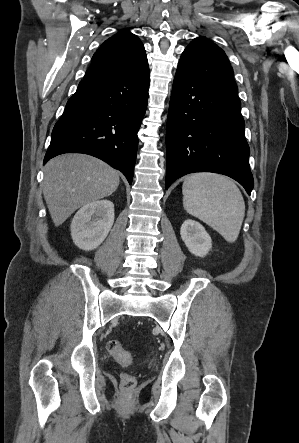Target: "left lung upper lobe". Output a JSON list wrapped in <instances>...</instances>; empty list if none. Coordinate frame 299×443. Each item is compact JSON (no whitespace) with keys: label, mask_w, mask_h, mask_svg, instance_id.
I'll return each instance as SVG.
<instances>
[{"label":"left lung upper lobe","mask_w":299,"mask_h":443,"mask_svg":"<svg viewBox=\"0 0 299 443\" xmlns=\"http://www.w3.org/2000/svg\"><path fill=\"white\" fill-rule=\"evenodd\" d=\"M177 69L238 92L225 52L204 37L195 38L186 47Z\"/></svg>","instance_id":"1"}]
</instances>
